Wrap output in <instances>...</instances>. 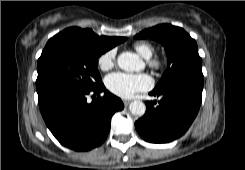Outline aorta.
Here are the masks:
<instances>
[{
    "label": "aorta",
    "instance_id": "obj_1",
    "mask_svg": "<svg viewBox=\"0 0 245 170\" xmlns=\"http://www.w3.org/2000/svg\"><path fill=\"white\" fill-rule=\"evenodd\" d=\"M118 66L127 72L139 71L142 69V61L138 55L132 52H123L118 56ZM130 112L133 115L143 116L146 111V106L142 101L135 100L129 105Z\"/></svg>",
    "mask_w": 245,
    "mask_h": 170
}]
</instances>
